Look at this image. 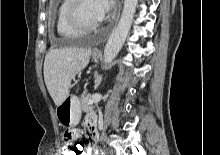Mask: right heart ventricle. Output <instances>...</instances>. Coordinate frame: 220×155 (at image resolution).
I'll use <instances>...</instances> for the list:
<instances>
[{
    "instance_id": "1",
    "label": "right heart ventricle",
    "mask_w": 220,
    "mask_h": 155,
    "mask_svg": "<svg viewBox=\"0 0 220 155\" xmlns=\"http://www.w3.org/2000/svg\"><path fill=\"white\" fill-rule=\"evenodd\" d=\"M70 2L71 0H61L56 11L55 25L59 36L67 39H75L83 36L84 33L72 28L67 22L66 11Z\"/></svg>"
}]
</instances>
